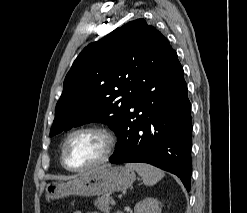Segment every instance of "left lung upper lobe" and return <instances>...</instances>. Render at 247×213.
<instances>
[{"instance_id": "obj_1", "label": "left lung upper lobe", "mask_w": 247, "mask_h": 213, "mask_svg": "<svg viewBox=\"0 0 247 213\" xmlns=\"http://www.w3.org/2000/svg\"><path fill=\"white\" fill-rule=\"evenodd\" d=\"M172 51L144 19L89 44L66 75L50 136L90 122L107 124L118 135L150 69Z\"/></svg>"}]
</instances>
